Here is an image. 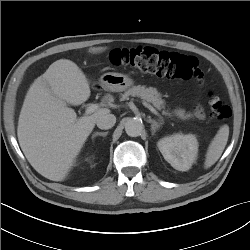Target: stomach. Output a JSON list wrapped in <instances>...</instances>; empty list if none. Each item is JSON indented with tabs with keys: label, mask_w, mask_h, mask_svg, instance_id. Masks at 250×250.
<instances>
[{
	"label": "stomach",
	"mask_w": 250,
	"mask_h": 250,
	"mask_svg": "<svg viewBox=\"0 0 250 250\" xmlns=\"http://www.w3.org/2000/svg\"><path fill=\"white\" fill-rule=\"evenodd\" d=\"M134 81L128 76L121 73L108 72L103 74L99 79V85L104 89L112 92H122L133 86Z\"/></svg>",
	"instance_id": "obj_1"
}]
</instances>
